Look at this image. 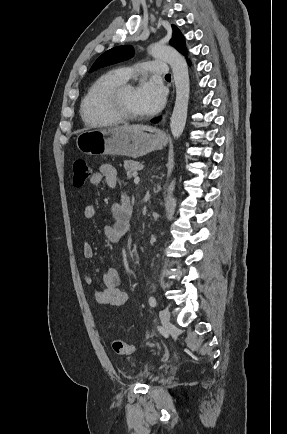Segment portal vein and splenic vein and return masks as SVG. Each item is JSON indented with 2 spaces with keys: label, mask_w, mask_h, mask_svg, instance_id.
I'll return each instance as SVG.
<instances>
[{
  "label": "portal vein and splenic vein",
  "mask_w": 287,
  "mask_h": 434,
  "mask_svg": "<svg viewBox=\"0 0 287 434\" xmlns=\"http://www.w3.org/2000/svg\"><path fill=\"white\" fill-rule=\"evenodd\" d=\"M139 181H140V177L137 175V173L134 174V183H135V184H138Z\"/></svg>",
  "instance_id": "portal-vein-and-splenic-vein-1"
}]
</instances>
